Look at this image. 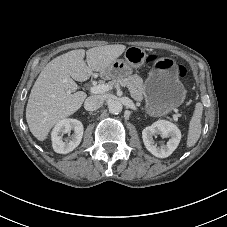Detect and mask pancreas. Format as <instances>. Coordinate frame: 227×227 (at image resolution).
<instances>
[{"mask_svg": "<svg viewBox=\"0 0 227 227\" xmlns=\"http://www.w3.org/2000/svg\"><path fill=\"white\" fill-rule=\"evenodd\" d=\"M116 84H120L121 86L128 87L131 96L136 101H141L143 99V92L145 89V85L143 83V79L138 75H129L124 78L113 79L109 82L110 86H114Z\"/></svg>", "mask_w": 227, "mask_h": 227, "instance_id": "pancreas-1", "label": "pancreas"}]
</instances>
